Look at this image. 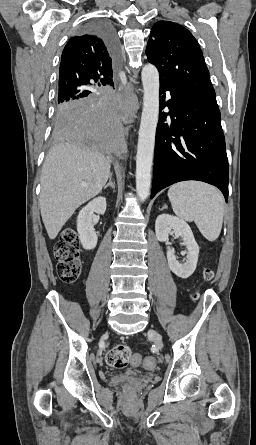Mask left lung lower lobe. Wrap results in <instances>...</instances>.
<instances>
[{"instance_id":"0a47b994","label":"left lung lower lobe","mask_w":256,"mask_h":445,"mask_svg":"<svg viewBox=\"0 0 256 445\" xmlns=\"http://www.w3.org/2000/svg\"><path fill=\"white\" fill-rule=\"evenodd\" d=\"M160 94V109L170 112L159 114L151 198L176 182L198 180L218 187L227 202L228 160L216 98L165 80Z\"/></svg>"}]
</instances>
